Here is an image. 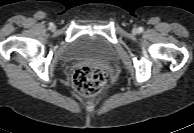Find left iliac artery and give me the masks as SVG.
<instances>
[{"instance_id":"44dca946","label":"left iliac artery","mask_w":194,"mask_h":133,"mask_svg":"<svg viewBox=\"0 0 194 133\" xmlns=\"http://www.w3.org/2000/svg\"><path fill=\"white\" fill-rule=\"evenodd\" d=\"M139 31H140V32H142V31H143V28H142V27H140V28H139Z\"/></svg>"}]
</instances>
